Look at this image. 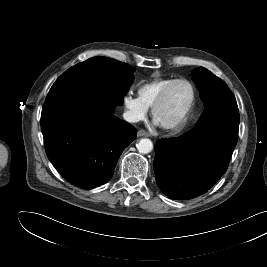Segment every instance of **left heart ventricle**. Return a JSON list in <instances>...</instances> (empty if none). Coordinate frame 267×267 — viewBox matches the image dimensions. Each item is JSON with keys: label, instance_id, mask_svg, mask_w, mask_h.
I'll list each match as a JSON object with an SVG mask.
<instances>
[{"label": "left heart ventricle", "instance_id": "obj_1", "mask_svg": "<svg viewBox=\"0 0 267 267\" xmlns=\"http://www.w3.org/2000/svg\"><path fill=\"white\" fill-rule=\"evenodd\" d=\"M192 98V91L188 84L179 83L169 93L165 102L156 113V120L160 124H168L179 119Z\"/></svg>", "mask_w": 267, "mask_h": 267}]
</instances>
